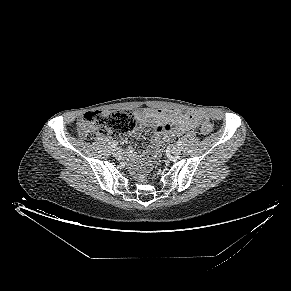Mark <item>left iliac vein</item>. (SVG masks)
<instances>
[{
  "label": "left iliac vein",
  "mask_w": 291,
  "mask_h": 291,
  "mask_svg": "<svg viewBox=\"0 0 291 291\" xmlns=\"http://www.w3.org/2000/svg\"><path fill=\"white\" fill-rule=\"evenodd\" d=\"M181 151H182L181 148L178 146H173L171 148V153L175 156H179L181 154Z\"/></svg>",
  "instance_id": "1"
}]
</instances>
